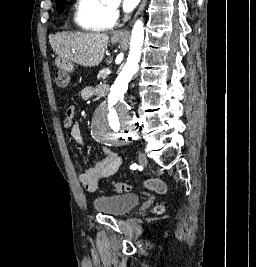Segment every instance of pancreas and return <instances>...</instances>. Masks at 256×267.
Returning <instances> with one entry per match:
<instances>
[{
    "mask_svg": "<svg viewBox=\"0 0 256 267\" xmlns=\"http://www.w3.org/2000/svg\"><path fill=\"white\" fill-rule=\"evenodd\" d=\"M99 78H105V76H103V74H100Z\"/></svg>",
    "mask_w": 256,
    "mask_h": 267,
    "instance_id": "1",
    "label": "pancreas"
}]
</instances>
